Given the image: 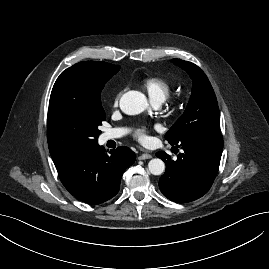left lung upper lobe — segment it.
<instances>
[{
	"instance_id": "5c2ea615",
	"label": "left lung upper lobe",
	"mask_w": 269,
	"mask_h": 269,
	"mask_svg": "<svg viewBox=\"0 0 269 269\" xmlns=\"http://www.w3.org/2000/svg\"><path fill=\"white\" fill-rule=\"evenodd\" d=\"M172 61L187 71L193 88L186 110L166 133L165 139L177 145L200 132H221L216 96L205 73L194 63L180 59Z\"/></svg>"
}]
</instances>
